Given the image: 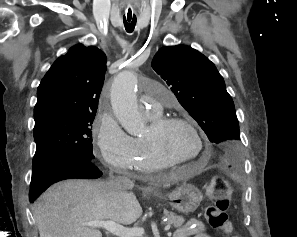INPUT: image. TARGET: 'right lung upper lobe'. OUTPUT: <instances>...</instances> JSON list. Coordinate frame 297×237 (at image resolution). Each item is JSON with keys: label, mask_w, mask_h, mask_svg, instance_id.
<instances>
[{"label": "right lung upper lobe", "mask_w": 297, "mask_h": 237, "mask_svg": "<svg viewBox=\"0 0 297 237\" xmlns=\"http://www.w3.org/2000/svg\"><path fill=\"white\" fill-rule=\"evenodd\" d=\"M106 71V55L98 48L73 46L58 58L37 88L35 123L53 115L96 114Z\"/></svg>", "instance_id": "1"}]
</instances>
